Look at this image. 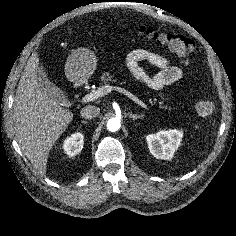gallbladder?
I'll list each match as a JSON object with an SVG mask.
<instances>
[{
    "label": "gallbladder",
    "mask_w": 236,
    "mask_h": 236,
    "mask_svg": "<svg viewBox=\"0 0 236 236\" xmlns=\"http://www.w3.org/2000/svg\"><path fill=\"white\" fill-rule=\"evenodd\" d=\"M35 77L41 87L42 92L52 97L59 103L63 102V92L51 82L45 67L41 63L37 65Z\"/></svg>",
    "instance_id": "bac80fb5"
}]
</instances>
